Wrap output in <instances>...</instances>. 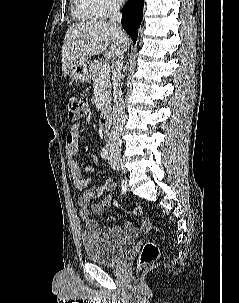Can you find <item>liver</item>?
Listing matches in <instances>:
<instances>
[{"label": "liver", "instance_id": "6515ba94", "mask_svg": "<svg viewBox=\"0 0 239 303\" xmlns=\"http://www.w3.org/2000/svg\"><path fill=\"white\" fill-rule=\"evenodd\" d=\"M111 46L107 49L109 43ZM130 45L128 36L110 22L91 20L71 25L64 37L62 46V70L77 61L105 52L114 57L125 52Z\"/></svg>", "mask_w": 239, "mask_h": 303}]
</instances>
